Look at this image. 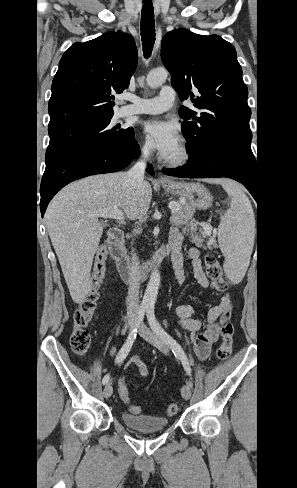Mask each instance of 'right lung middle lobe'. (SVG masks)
<instances>
[{
    "label": "right lung middle lobe",
    "mask_w": 297,
    "mask_h": 488,
    "mask_svg": "<svg viewBox=\"0 0 297 488\" xmlns=\"http://www.w3.org/2000/svg\"><path fill=\"white\" fill-rule=\"evenodd\" d=\"M111 118L112 116L84 121L49 133L50 143L45 155L46 165L76 148L134 137L131 127L119 129L120 127L115 126L111 128L109 125Z\"/></svg>",
    "instance_id": "right-lung-middle-lobe-1"
}]
</instances>
